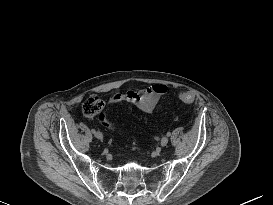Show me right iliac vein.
<instances>
[{
    "instance_id": "63e3f726",
    "label": "right iliac vein",
    "mask_w": 273,
    "mask_h": 205,
    "mask_svg": "<svg viewBox=\"0 0 273 205\" xmlns=\"http://www.w3.org/2000/svg\"><path fill=\"white\" fill-rule=\"evenodd\" d=\"M94 135H95V137H96L97 139H99V140H102V139H103V135H102V133L99 132V131L95 132Z\"/></svg>"
}]
</instances>
